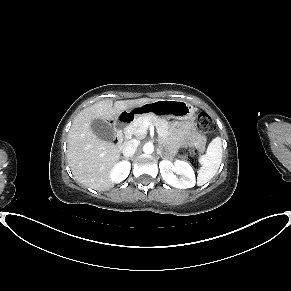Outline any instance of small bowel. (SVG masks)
<instances>
[{
	"instance_id": "obj_1",
	"label": "small bowel",
	"mask_w": 291,
	"mask_h": 291,
	"mask_svg": "<svg viewBox=\"0 0 291 291\" xmlns=\"http://www.w3.org/2000/svg\"><path fill=\"white\" fill-rule=\"evenodd\" d=\"M183 130L184 138L186 141H199L192 125L190 123H184L180 125Z\"/></svg>"
}]
</instances>
